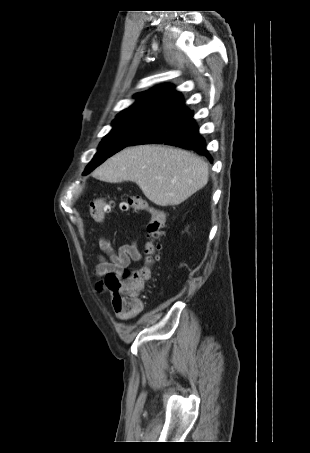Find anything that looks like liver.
<instances>
[{
	"label": "liver",
	"instance_id": "1",
	"mask_svg": "<svg viewBox=\"0 0 310 453\" xmlns=\"http://www.w3.org/2000/svg\"><path fill=\"white\" fill-rule=\"evenodd\" d=\"M109 183L133 181L159 206L179 205L208 182V164L194 154L160 145L128 147L94 170Z\"/></svg>",
	"mask_w": 310,
	"mask_h": 453
}]
</instances>
